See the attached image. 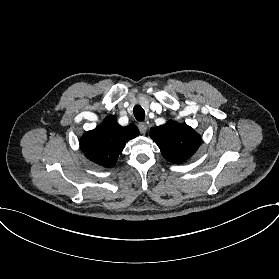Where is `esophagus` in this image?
Segmentation results:
<instances>
[{"label":"esophagus","mask_w":279,"mask_h":279,"mask_svg":"<svg viewBox=\"0 0 279 279\" xmlns=\"http://www.w3.org/2000/svg\"><path fill=\"white\" fill-rule=\"evenodd\" d=\"M138 129H139L140 133L144 135L148 129V126L145 122H140L138 124Z\"/></svg>","instance_id":"34e87169"}]
</instances>
